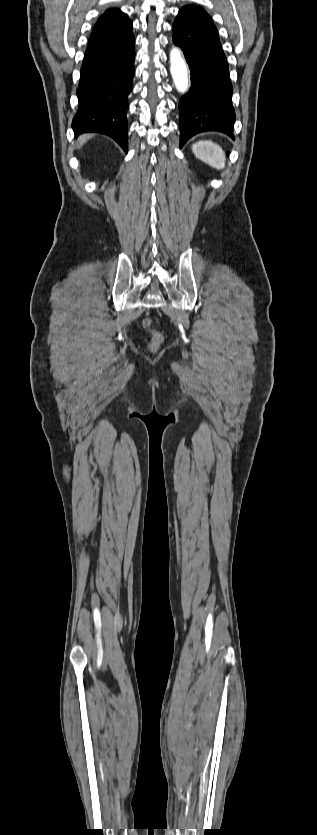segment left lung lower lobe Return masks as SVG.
I'll list each match as a JSON object with an SVG mask.
<instances>
[{
  "mask_svg": "<svg viewBox=\"0 0 317 835\" xmlns=\"http://www.w3.org/2000/svg\"><path fill=\"white\" fill-rule=\"evenodd\" d=\"M173 42L185 54L191 71V87L179 102L180 146L206 131L222 132L234 139L235 111L228 62L217 29L201 7L180 9L173 24Z\"/></svg>",
  "mask_w": 317,
  "mask_h": 835,
  "instance_id": "0a47b994",
  "label": "left lung lower lobe"
}]
</instances>
